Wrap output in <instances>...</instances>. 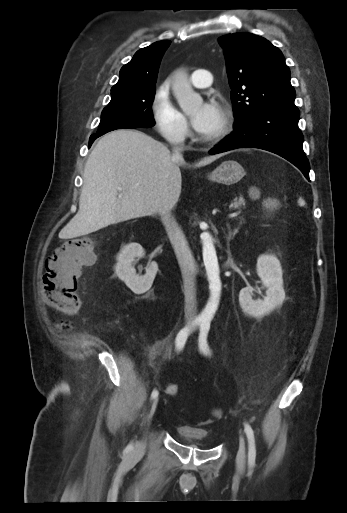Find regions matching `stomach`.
I'll return each mask as SVG.
<instances>
[{
    "mask_svg": "<svg viewBox=\"0 0 347 513\" xmlns=\"http://www.w3.org/2000/svg\"><path fill=\"white\" fill-rule=\"evenodd\" d=\"M245 175L244 168L235 160L222 162L211 174L208 179L225 184L232 185L239 182Z\"/></svg>",
    "mask_w": 347,
    "mask_h": 513,
    "instance_id": "1",
    "label": "stomach"
}]
</instances>
